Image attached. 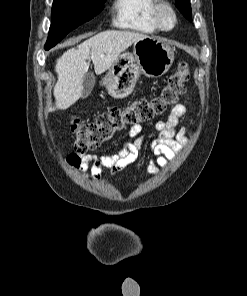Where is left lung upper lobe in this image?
Wrapping results in <instances>:
<instances>
[{
    "label": "left lung upper lobe",
    "instance_id": "5c2ea615",
    "mask_svg": "<svg viewBox=\"0 0 247 296\" xmlns=\"http://www.w3.org/2000/svg\"><path fill=\"white\" fill-rule=\"evenodd\" d=\"M176 6L187 19L191 20L190 0H176Z\"/></svg>",
    "mask_w": 247,
    "mask_h": 296
}]
</instances>
